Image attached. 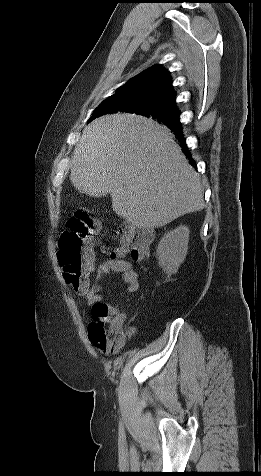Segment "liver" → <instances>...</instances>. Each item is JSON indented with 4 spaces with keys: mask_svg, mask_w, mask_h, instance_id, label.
<instances>
[{
    "mask_svg": "<svg viewBox=\"0 0 261 476\" xmlns=\"http://www.w3.org/2000/svg\"><path fill=\"white\" fill-rule=\"evenodd\" d=\"M70 180L80 193H109L113 211L140 228L162 227L204 208L200 176L171 132L135 114L105 115L83 130Z\"/></svg>",
    "mask_w": 261,
    "mask_h": 476,
    "instance_id": "6515ba94",
    "label": "liver"
}]
</instances>
